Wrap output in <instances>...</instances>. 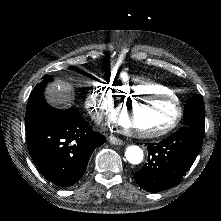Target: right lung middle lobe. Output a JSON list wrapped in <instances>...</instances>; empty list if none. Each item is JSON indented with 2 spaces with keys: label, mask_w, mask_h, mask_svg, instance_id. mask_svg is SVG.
<instances>
[{
  "label": "right lung middle lobe",
  "mask_w": 221,
  "mask_h": 221,
  "mask_svg": "<svg viewBox=\"0 0 221 221\" xmlns=\"http://www.w3.org/2000/svg\"><path fill=\"white\" fill-rule=\"evenodd\" d=\"M53 78L50 75H45L43 80L37 84L32 90L26 108L25 123L31 119L41 117L44 115L55 114V113H73L75 111L73 108L68 110H56L50 107L44 99V88L46 85L52 81Z\"/></svg>",
  "instance_id": "right-lung-middle-lobe-1"
}]
</instances>
